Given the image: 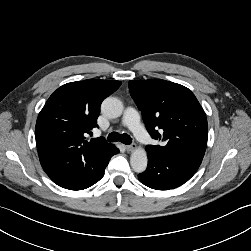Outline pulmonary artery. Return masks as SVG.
<instances>
[{
    "label": "pulmonary artery",
    "mask_w": 251,
    "mask_h": 251,
    "mask_svg": "<svg viewBox=\"0 0 251 251\" xmlns=\"http://www.w3.org/2000/svg\"><path fill=\"white\" fill-rule=\"evenodd\" d=\"M123 124L134 133L138 140L142 142L149 141V135L141 124L140 116L136 109L132 107L126 109L123 116Z\"/></svg>",
    "instance_id": "e3ab8cb5"
}]
</instances>
